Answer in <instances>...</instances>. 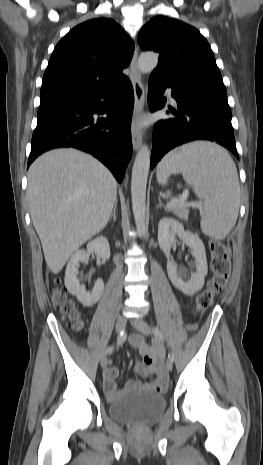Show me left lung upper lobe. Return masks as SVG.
Returning <instances> with one entry per match:
<instances>
[{"label":"left lung upper lobe","mask_w":263,"mask_h":465,"mask_svg":"<svg viewBox=\"0 0 263 465\" xmlns=\"http://www.w3.org/2000/svg\"><path fill=\"white\" fill-rule=\"evenodd\" d=\"M142 50L160 53L152 74L190 81L210 93L227 96L213 52L200 32L176 19L152 18L139 32Z\"/></svg>","instance_id":"left-lung-upper-lobe-1"}]
</instances>
